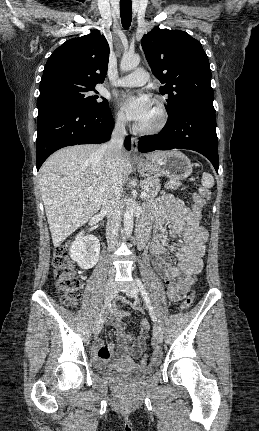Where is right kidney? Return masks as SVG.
<instances>
[{
	"instance_id": "right-kidney-1",
	"label": "right kidney",
	"mask_w": 259,
	"mask_h": 431,
	"mask_svg": "<svg viewBox=\"0 0 259 431\" xmlns=\"http://www.w3.org/2000/svg\"><path fill=\"white\" fill-rule=\"evenodd\" d=\"M100 255V243L99 240L93 236H84V232L81 231L75 241L72 242L70 247V257L73 261L82 269H90L94 267Z\"/></svg>"
}]
</instances>
